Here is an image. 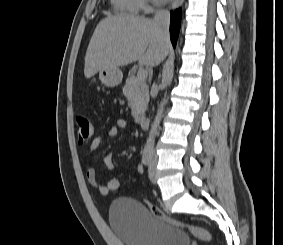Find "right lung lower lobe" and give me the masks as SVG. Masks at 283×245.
<instances>
[{
	"label": "right lung lower lobe",
	"mask_w": 283,
	"mask_h": 245,
	"mask_svg": "<svg viewBox=\"0 0 283 245\" xmlns=\"http://www.w3.org/2000/svg\"><path fill=\"white\" fill-rule=\"evenodd\" d=\"M180 22H181V11L176 10L174 13L171 12L170 37L174 47L176 45V41L179 34Z\"/></svg>",
	"instance_id": "obj_1"
}]
</instances>
